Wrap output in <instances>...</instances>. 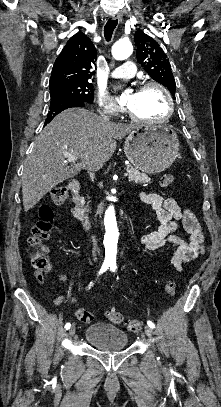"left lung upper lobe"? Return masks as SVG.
<instances>
[{"label":"left lung upper lobe","instance_id":"5c2ea615","mask_svg":"<svg viewBox=\"0 0 221 407\" xmlns=\"http://www.w3.org/2000/svg\"><path fill=\"white\" fill-rule=\"evenodd\" d=\"M137 60L157 82L169 89L175 98L176 84L171 66L160 45L143 31H136Z\"/></svg>","mask_w":221,"mask_h":407}]
</instances>
